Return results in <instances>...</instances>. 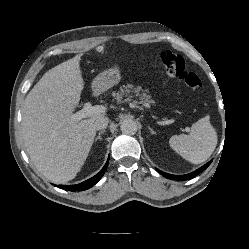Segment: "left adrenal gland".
I'll use <instances>...</instances> for the list:
<instances>
[{
  "label": "left adrenal gland",
  "mask_w": 249,
  "mask_h": 249,
  "mask_svg": "<svg viewBox=\"0 0 249 249\" xmlns=\"http://www.w3.org/2000/svg\"><path fill=\"white\" fill-rule=\"evenodd\" d=\"M148 128H149L151 134H156V132L151 127L148 126Z\"/></svg>",
  "instance_id": "obj_1"
}]
</instances>
